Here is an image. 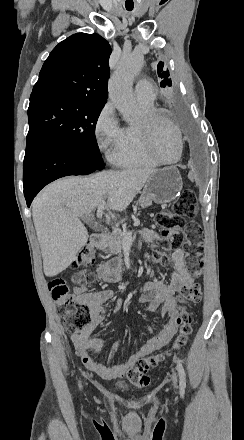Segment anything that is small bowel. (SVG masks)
<instances>
[{"mask_svg":"<svg viewBox=\"0 0 244 440\" xmlns=\"http://www.w3.org/2000/svg\"><path fill=\"white\" fill-rule=\"evenodd\" d=\"M157 239L158 234L155 231L150 229L144 231V240L147 243L154 242ZM185 257L183 249L172 250L168 257L173 266L169 281L150 280L142 285L139 301L147 303L148 312H156L161 307L162 315L167 318V321L157 335L152 336L147 342L142 344L125 362L116 363L114 361L116 348L105 353L102 340L91 337L89 330L72 333L71 340L76 353L87 369L105 380L123 378L136 361L135 356L138 353H142L146 357L162 349L171 341L178 328L175 295L184 286L195 283L194 275L185 265ZM121 271L122 261L121 259H116L111 263L97 267L94 271L79 270L72 276L71 281L75 297L77 300H87L88 302L92 320L91 327L103 322L105 313L104 303L114 296V292L106 289L87 291L83 284V279L89 275H94L106 283H117L121 279ZM144 330L152 332L150 327H144ZM95 357L102 359L103 362L96 361Z\"/></svg>","mask_w":244,"mask_h":440,"instance_id":"obj_1","label":"small bowel"}]
</instances>
